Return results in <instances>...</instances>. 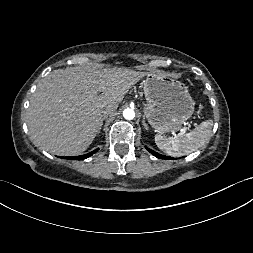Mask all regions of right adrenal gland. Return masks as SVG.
I'll return each instance as SVG.
<instances>
[{
	"mask_svg": "<svg viewBox=\"0 0 253 253\" xmlns=\"http://www.w3.org/2000/svg\"><path fill=\"white\" fill-rule=\"evenodd\" d=\"M106 118H107V116H104V117L102 118V121H101V123H100V127H99V129H98V133L100 132V130H101V128H102V125H103V121H104Z\"/></svg>",
	"mask_w": 253,
	"mask_h": 253,
	"instance_id": "right-adrenal-gland-1",
	"label": "right adrenal gland"
}]
</instances>
